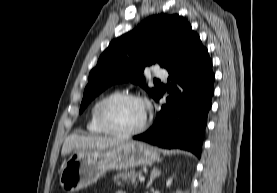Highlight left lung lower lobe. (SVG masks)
Returning <instances> with one entry per match:
<instances>
[{
    "label": "left lung lower lobe",
    "instance_id": "1",
    "mask_svg": "<svg viewBox=\"0 0 277 193\" xmlns=\"http://www.w3.org/2000/svg\"><path fill=\"white\" fill-rule=\"evenodd\" d=\"M168 72L167 103L161 107L153 126L133 138L164 148L189 150L200 157L215 75L208 50L198 35ZM162 96L161 92L157 100Z\"/></svg>",
    "mask_w": 277,
    "mask_h": 193
}]
</instances>
